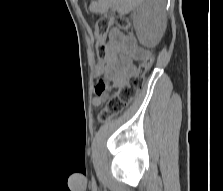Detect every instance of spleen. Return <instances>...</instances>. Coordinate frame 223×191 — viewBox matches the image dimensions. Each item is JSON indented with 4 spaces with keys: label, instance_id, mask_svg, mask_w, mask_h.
Here are the masks:
<instances>
[{
    "label": "spleen",
    "instance_id": "3e777b00",
    "mask_svg": "<svg viewBox=\"0 0 223 191\" xmlns=\"http://www.w3.org/2000/svg\"><path fill=\"white\" fill-rule=\"evenodd\" d=\"M120 1H123V0H98L97 3L93 4V7H94V10L96 12H99V13H103L105 12L110 6H114L116 5L117 3H119ZM127 8H125L124 10H126ZM120 12L123 11V9H120L119 10Z\"/></svg>",
    "mask_w": 223,
    "mask_h": 191
}]
</instances>
